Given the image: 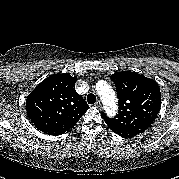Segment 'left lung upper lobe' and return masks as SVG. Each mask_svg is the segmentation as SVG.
Returning <instances> with one entry per match:
<instances>
[{"instance_id":"obj_1","label":"left lung upper lobe","mask_w":179,"mask_h":179,"mask_svg":"<svg viewBox=\"0 0 179 179\" xmlns=\"http://www.w3.org/2000/svg\"><path fill=\"white\" fill-rule=\"evenodd\" d=\"M119 99V111L114 118L102 113L108 127L128 139L144 132L154 122L161 106L160 88L156 81L135 72L112 74Z\"/></svg>"}]
</instances>
